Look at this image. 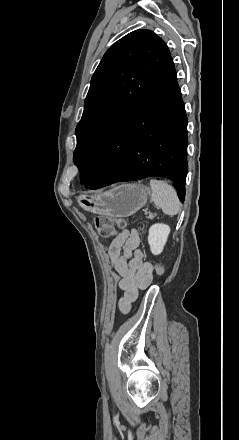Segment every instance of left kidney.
<instances>
[{
  "mask_svg": "<svg viewBox=\"0 0 239 440\" xmlns=\"http://www.w3.org/2000/svg\"><path fill=\"white\" fill-rule=\"evenodd\" d=\"M169 234L170 228L166 224H154L149 228L148 244L154 256L163 252Z\"/></svg>",
  "mask_w": 239,
  "mask_h": 440,
  "instance_id": "obj_1",
  "label": "left kidney"
}]
</instances>
